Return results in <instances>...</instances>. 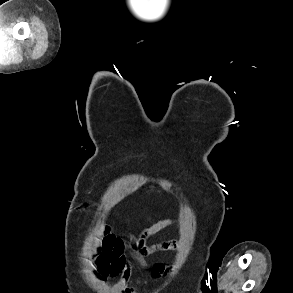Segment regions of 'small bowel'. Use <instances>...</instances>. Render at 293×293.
I'll list each match as a JSON object with an SVG mask.
<instances>
[{
	"label": "small bowel",
	"mask_w": 293,
	"mask_h": 293,
	"mask_svg": "<svg viewBox=\"0 0 293 293\" xmlns=\"http://www.w3.org/2000/svg\"><path fill=\"white\" fill-rule=\"evenodd\" d=\"M174 223L175 221L171 219L163 220L138 234L128 235L131 248L142 266H148L145 260L146 255L179 248V243L173 240L147 245V240L150 236ZM93 246L92 264L97 276L100 279H104L107 276L120 275L121 279L118 286L122 289L126 288L131 281V268L126 261L122 238L112 235L108 230H105L100 238L94 240ZM150 272L154 279L161 280L169 275L170 269L158 262L150 267Z\"/></svg>",
	"instance_id": "obj_1"
}]
</instances>
